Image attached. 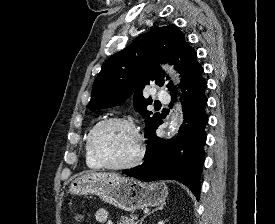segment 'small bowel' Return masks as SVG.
<instances>
[{
  "mask_svg": "<svg viewBox=\"0 0 275 224\" xmlns=\"http://www.w3.org/2000/svg\"><path fill=\"white\" fill-rule=\"evenodd\" d=\"M95 219L99 224H114L109 218V212L104 208L96 210Z\"/></svg>",
  "mask_w": 275,
  "mask_h": 224,
  "instance_id": "1",
  "label": "small bowel"
}]
</instances>
